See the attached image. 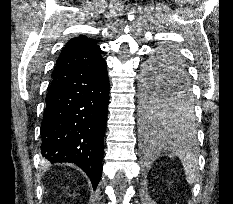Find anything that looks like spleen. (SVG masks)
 Segmentation results:
<instances>
[{"label":"spleen","mask_w":233,"mask_h":204,"mask_svg":"<svg viewBox=\"0 0 233 204\" xmlns=\"http://www.w3.org/2000/svg\"><path fill=\"white\" fill-rule=\"evenodd\" d=\"M175 155L180 159L188 184L193 185L198 179V160L193 152L182 145H177L173 149Z\"/></svg>","instance_id":"1"}]
</instances>
